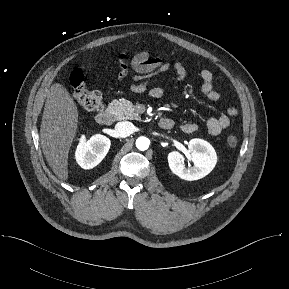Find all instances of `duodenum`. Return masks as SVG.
Instances as JSON below:
<instances>
[{
	"instance_id": "410a0bca",
	"label": "duodenum",
	"mask_w": 289,
	"mask_h": 289,
	"mask_svg": "<svg viewBox=\"0 0 289 289\" xmlns=\"http://www.w3.org/2000/svg\"><path fill=\"white\" fill-rule=\"evenodd\" d=\"M96 122L101 126H108L113 122V113L109 110H102L96 115ZM159 126L164 130L173 127V121L170 118L163 117L159 121Z\"/></svg>"
}]
</instances>
